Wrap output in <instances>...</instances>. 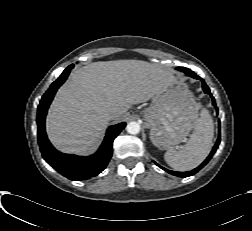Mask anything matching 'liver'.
Listing matches in <instances>:
<instances>
[{"instance_id": "6515ba94", "label": "liver", "mask_w": 252, "mask_h": 231, "mask_svg": "<svg viewBox=\"0 0 252 231\" xmlns=\"http://www.w3.org/2000/svg\"><path fill=\"white\" fill-rule=\"evenodd\" d=\"M173 82L171 71L141 60L99 61L76 69L49 108L48 137L63 152L85 153L110 120L122 119L131 105L150 100Z\"/></svg>"}]
</instances>
